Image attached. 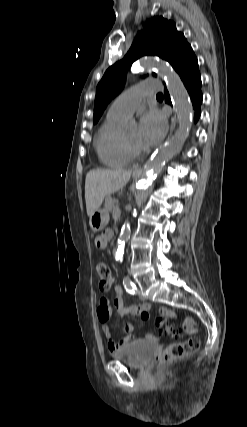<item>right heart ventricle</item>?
Segmentation results:
<instances>
[{"mask_svg": "<svg viewBox=\"0 0 247 427\" xmlns=\"http://www.w3.org/2000/svg\"><path fill=\"white\" fill-rule=\"evenodd\" d=\"M123 122V119L107 115L95 136V150L99 161L104 166L116 168L124 166L130 161L122 146L121 125Z\"/></svg>", "mask_w": 247, "mask_h": 427, "instance_id": "right-heart-ventricle-1", "label": "right heart ventricle"}]
</instances>
